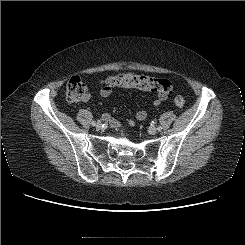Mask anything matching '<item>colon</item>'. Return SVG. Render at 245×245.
I'll list each match as a JSON object with an SVG mask.
<instances>
[{
  "mask_svg": "<svg viewBox=\"0 0 245 245\" xmlns=\"http://www.w3.org/2000/svg\"><path fill=\"white\" fill-rule=\"evenodd\" d=\"M103 85L109 90L115 88H137L162 95H167L172 90L171 82L166 79L138 75L130 72L110 76L104 80ZM86 91V84L79 76L70 78L66 84V98L70 102H79L83 100ZM174 104L181 108L184 106L185 100L181 96H177L174 99Z\"/></svg>",
  "mask_w": 245,
  "mask_h": 245,
  "instance_id": "colon-1",
  "label": "colon"
}]
</instances>
